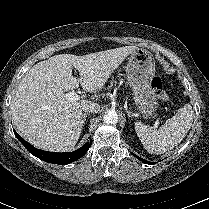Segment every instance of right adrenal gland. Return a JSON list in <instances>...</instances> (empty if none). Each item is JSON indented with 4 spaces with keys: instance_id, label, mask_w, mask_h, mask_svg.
Returning <instances> with one entry per match:
<instances>
[{
    "instance_id": "1",
    "label": "right adrenal gland",
    "mask_w": 209,
    "mask_h": 209,
    "mask_svg": "<svg viewBox=\"0 0 209 209\" xmlns=\"http://www.w3.org/2000/svg\"><path fill=\"white\" fill-rule=\"evenodd\" d=\"M88 113H84L82 116V125L85 123Z\"/></svg>"
}]
</instances>
